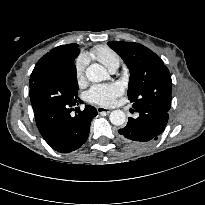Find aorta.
<instances>
[{
  "label": "aorta",
  "mask_w": 205,
  "mask_h": 205,
  "mask_svg": "<svg viewBox=\"0 0 205 205\" xmlns=\"http://www.w3.org/2000/svg\"><path fill=\"white\" fill-rule=\"evenodd\" d=\"M85 75L91 82H101L109 78L107 70L97 63L88 66ZM109 119L113 125L121 126L126 121V115L122 110H114L111 112Z\"/></svg>",
  "instance_id": "obj_1"
}]
</instances>
